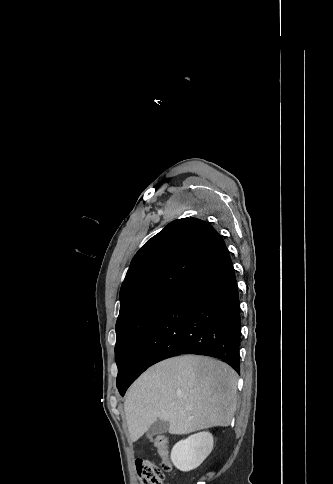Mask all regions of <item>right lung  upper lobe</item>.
I'll use <instances>...</instances> for the list:
<instances>
[{
    "label": "right lung upper lobe",
    "mask_w": 333,
    "mask_h": 484,
    "mask_svg": "<svg viewBox=\"0 0 333 484\" xmlns=\"http://www.w3.org/2000/svg\"><path fill=\"white\" fill-rule=\"evenodd\" d=\"M228 253L207 222L183 218L169 223L136 253L120 291L119 317L139 303L175 291Z\"/></svg>",
    "instance_id": "1"
}]
</instances>
